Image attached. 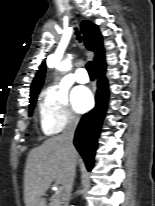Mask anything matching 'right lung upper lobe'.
Masks as SVG:
<instances>
[{"instance_id":"right-lung-upper-lobe-1","label":"right lung upper lobe","mask_w":155,"mask_h":206,"mask_svg":"<svg viewBox=\"0 0 155 206\" xmlns=\"http://www.w3.org/2000/svg\"><path fill=\"white\" fill-rule=\"evenodd\" d=\"M81 29L85 36V44L87 49L95 52L94 61L96 67L98 68L105 63L104 48L99 29L94 23L90 21H83L81 23ZM45 71L46 65L45 62H43L40 65L39 70L37 71V74L32 82L30 98L38 95L44 81Z\"/></svg>"}]
</instances>
